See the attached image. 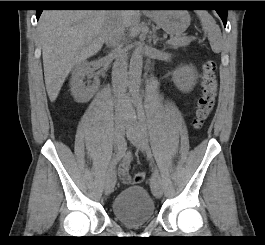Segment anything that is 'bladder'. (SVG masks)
Segmentation results:
<instances>
[{"label":"bladder","mask_w":265,"mask_h":245,"mask_svg":"<svg viewBox=\"0 0 265 245\" xmlns=\"http://www.w3.org/2000/svg\"><path fill=\"white\" fill-rule=\"evenodd\" d=\"M113 216L124 226L134 227L149 223L155 216V203L142 186H129L113 201Z\"/></svg>","instance_id":"bladder-1"}]
</instances>
